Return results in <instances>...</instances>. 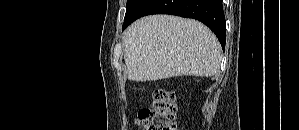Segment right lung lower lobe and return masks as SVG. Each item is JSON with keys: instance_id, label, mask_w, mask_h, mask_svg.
<instances>
[{"instance_id": "1", "label": "right lung lower lobe", "mask_w": 299, "mask_h": 130, "mask_svg": "<svg viewBox=\"0 0 299 130\" xmlns=\"http://www.w3.org/2000/svg\"><path fill=\"white\" fill-rule=\"evenodd\" d=\"M150 14H171L199 20L215 33L223 50L225 48L226 22L222 0H147L130 23Z\"/></svg>"}]
</instances>
